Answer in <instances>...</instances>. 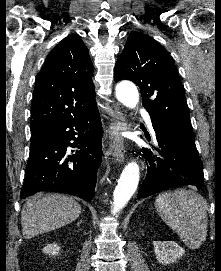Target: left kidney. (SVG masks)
<instances>
[{
    "label": "left kidney",
    "instance_id": "5707ae66",
    "mask_svg": "<svg viewBox=\"0 0 221 271\" xmlns=\"http://www.w3.org/2000/svg\"><path fill=\"white\" fill-rule=\"evenodd\" d=\"M155 255L159 263H173L178 257H182L185 251L176 241H153Z\"/></svg>",
    "mask_w": 221,
    "mask_h": 271
}]
</instances>
